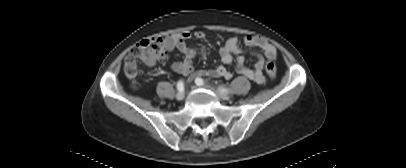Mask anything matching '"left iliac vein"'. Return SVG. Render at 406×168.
Masks as SVG:
<instances>
[{"mask_svg": "<svg viewBox=\"0 0 406 168\" xmlns=\"http://www.w3.org/2000/svg\"><path fill=\"white\" fill-rule=\"evenodd\" d=\"M206 88H209V86H205ZM215 93L220 97V98H222V99H224V100H228L230 97L227 95V94H224V93H221V92H218V91H215Z\"/></svg>", "mask_w": 406, "mask_h": 168, "instance_id": "4c4485c4", "label": "left iliac vein"}]
</instances>
